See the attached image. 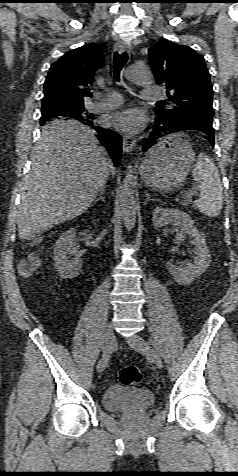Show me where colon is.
I'll use <instances>...</instances> for the list:
<instances>
[{
    "label": "colon",
    "instance_id": "obj_1",
    "mask_svg": "<svg viewBox=\"0 0 238 476\" xmlns=\"http://www.w3.org/2000/svg\"><path fill=\"white\" fill-rule=\"evenodd\" d=\"M37 264L38 259L36 257L27 259L20 265V274L23 277L30 276ZM118 380L127 386L138 385L142 380L141 369L135 365L124 367L118 372Z\"/></svg>",
    "mask_w": 238,
    "mask_h": 476
}]
</instances>
